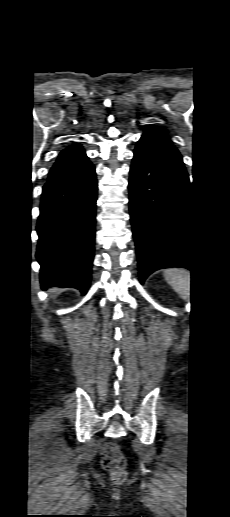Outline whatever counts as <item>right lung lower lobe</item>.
Returning <instances> with one entry per match:
<instances>
[{
    "mask_svg": "<svg viewBox=\"0 0 230 517\" xmlns=\"http://www.w3.org/2000/svg\"><path fill=\"white\" fill-rule=\"evenodd\" d=\"M97 180L88 162L43 187L36 257L41 287H73L85 294L94 256Z\"/></svg>",
    "mask_w": 230,
    "mask_h": 517,
    "instance_id": "obj_1",
    "label": "right lung lower lobe"
}]
</instances>
